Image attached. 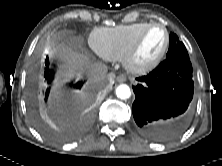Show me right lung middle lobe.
Returning a JSON list of instances; mask_svg holds the SVG:
<instances>
[{"mask_svg": "<svg viewBox=\"0 0 222 166\" xmlns=\"http://www.w3.org/2000/svg\"><path fill=\"white\" fill-rule=\"evenodd\" d=\"M33 117H34L36 126H37L40 130H43V131H44V130H45L44 125H43V123L41 122V120L38 118V116H37L36 113H34Z\"/></svg>", "mask_w": 222, "mask_h": 166, "instance_id": "right-lung-middle-lobe-1", "label": "right lung middle lobe"}]
</instances>
